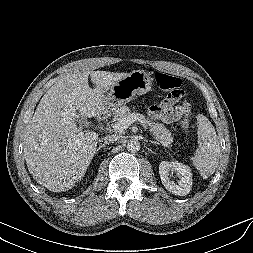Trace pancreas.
Listing matches in <instances>:
<instances>
[{"label": "pancreas", "mask_w": 253, "mask_h": 253, "mask_svg": "<svg viewBox=\"0 0 253 253\" xmlns=\"http://www.w3.org/2000/svg\"><path fill=\"white\" fill-rule=\"evenodd\" d=\"M130 114H132L130 109L126 105H122L115 110L114 121H119L121 118L127 117ZM140 116L144 122L150 125V132L155 136L156 140H158L162 145L170 147L171 142H173L174 139L171 132L167 130L163 124L147 121L144 115Z\"/></svg>", "instance_id": "pancreas-1"}]
</instances>
